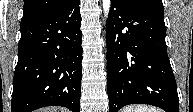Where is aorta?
Segmentation results:
<instances>
[{"instance_id": "obj_1", "label": "aorta", "mask_w": 193, "mask_h": 112, "mask_svg": "<svg viewBox=\"0 0 193 112\" xmlns=\"http://www.w3.org/2000/svg\"><path fill=\"white\" fill-rule=\"evenodd\" d=\"M110 4H111L110 0H103L102 1V7H103L105 18L108 17V13H109V10H110Z\"/></svg>"}]
</instances>
